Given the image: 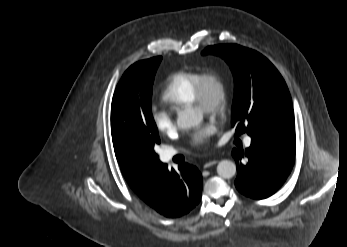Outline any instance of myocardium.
Masks as SVG:
<instances>
[{
    "instance_id": "obj_1",
    "label": "myocardium",
    "mask_w": 347,
    "mask_h": 247,
    "mask_svg": "<svg viewBox=\"0 0 347 247\" xmlns=\"http://www.w3.org/2000/svg\"><path fill=\"white\" fill-rule=\"evenodd\" d=\"M229 102L226 81L214 72L201 74L194 92L192 105L204 115H222Z\"/></svg>"
}]
</instances>
